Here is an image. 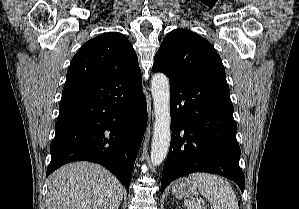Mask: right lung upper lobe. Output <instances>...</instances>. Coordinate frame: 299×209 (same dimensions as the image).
Instances as JSON below:
<instances>
[{"label": "right lung upper lobe", "mask_w": 299, "mask_h": 209, "mask_svg": "<svg viewBox=\"0 0 299 209\" xmlns=\"http://www.w3.org/2000/svg\"><path fill=\"white\" fill-rule=\"evenodd\" d=\"M119 76L127 82L141 79L137 55L119 32L104 33L87 41L72 58L66 82Z\"/></svg>", "instance_id": "cb5924a9"}]
</instances>
